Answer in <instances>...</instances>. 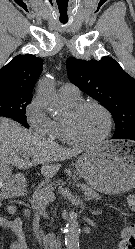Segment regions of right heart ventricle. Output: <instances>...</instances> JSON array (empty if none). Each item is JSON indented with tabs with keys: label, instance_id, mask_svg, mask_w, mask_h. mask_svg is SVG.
<instances>
[{
	"label": "right heart ventricle",
	"instance_id": "right-heart-ventricle-1",
	"mask_svg": "<svg viewBox=\"0 0 135 249\" xmlns=\"http://www.w3.org/2000/svg\"><path fill=\"white\" fill-rule=\"evenodd\" d=\"M67 106L72 108L78 103V100H70L66 98H62ZM53 121V120H52ZM51 137L67 144H71V140L67 134L65 121L64 120H55L53 121L52 130H51Z\"/></svg>",
	"mask_w": 135,
	"mask_h": 249
}]
</instances>
